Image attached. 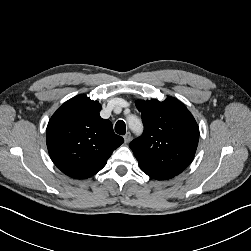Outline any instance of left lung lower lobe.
Listing matches in <instances>:
<instances>
[{
  "label": "left lung lower lobe",
  "instance_id": "0a47b994",
  "mask_svg": "<svg viewBox=\"0 0 251 251\" xmlns=\"http://www.w3.org/2000/svg\"><path fill=\"white\" fill-rule=\"evenodd\" d=\"M146 174L150 176L151 178H154L157 180H167V179L173 178L171 176H166V175H155V174H149V173H146Z\"/></svg>",
  "mask_w": 251,
  "mask_h": 251
}]
</instances>
